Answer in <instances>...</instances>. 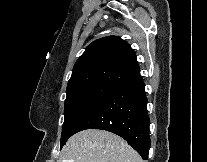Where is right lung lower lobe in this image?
Listing matches in <instances>:
<instances>
[{
	"label": "right lung lower lobe",
	"instance_id": "right-lung-lower-lobe-1",
	"mask_svg": "<svg viewBox=\"0 0 207 162\" xmlns=\"http://www.w3.org/2000/svg\"><path fill=\"white\" fill-rule=\"evenodd\" d=\"M138 73L116 86L76 127L110 131L124 138L145 160L150 148L147 98Z\"/></svg>",
	"mask_w": 207,
	"mask_h": 162
}]
</instances>
